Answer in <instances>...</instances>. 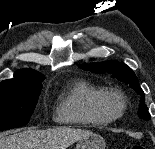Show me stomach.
<instances>
[{"mask_svg":"<svg viewBox=\"0 0 155 149\" xmlns=\"http://www.w3.org/2000/svg\"><path fill=\"white\" fill-rule=\"evenodd\" d=\"M105 140L98 134L90 133L78 140L75 149H105Z\"/></svg>","mask_w":155,"mask_h":149,"instance_id":"stomach-1","label":"stomach"}]
</instances>
